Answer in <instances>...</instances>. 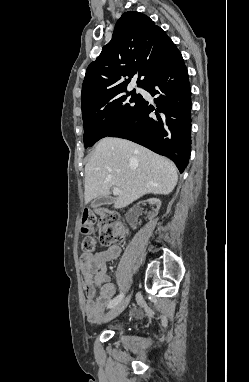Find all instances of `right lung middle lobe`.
Masks as SVG:
<instances>
[{"mask_svg":"<svg viewBox=\"0 0 249 382\" xmlns=\"http://www.w3.org/2000/svg\"><path fill=\"white\" fill-rule=\"evenodd\" d=\"M143 97L135 89L111 100H98L82 108L84 146H93L128 123L138 112Z\"/></svg>","mask_w":249,"mask_h":382,"instance_id":"obj_1","label":"right lung middle lobe"}]
</instances>
